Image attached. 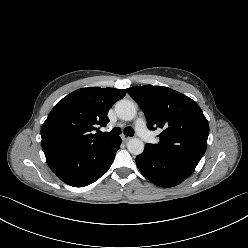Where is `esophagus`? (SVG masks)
<instances>
[{"instance_id": "obj_1", "label": "esophagus", "mask_w": 248, "mask_h": 248, "mask_svg": "<svg viewBox=\"0 0 248 248\" xmlns=\"http://www.w3.org/2000/svg\"><path fill=\"white\" fill-rule=\"evenodd\" d=\"M121 138H122V140H123L124 142H127V141L131 140L132 137L123 134V135L121 136Z\"/></svg>"}]
</instances>
